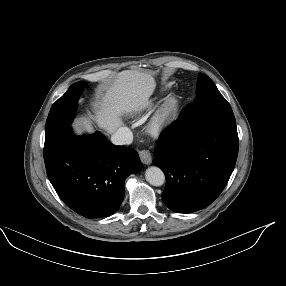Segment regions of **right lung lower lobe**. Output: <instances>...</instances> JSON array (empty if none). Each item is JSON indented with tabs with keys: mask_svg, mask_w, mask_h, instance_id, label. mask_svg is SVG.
<instances>
[{
	"mask_svg": "<svg viewBox=\"0 0 286 286\" xmlns=\"http://www.w3.org/2000/svg\"><path fill=\"white\" fill-rule=\"evenodd\" d=\"M44 161L59 197L87 218L108 217L117 211L125 178L142 168L134 149L115 146L99 132L77 137L70 127L45 137Z\"/></svg>",
	"mask_w": 286,
	"mask_h": 286,
	"instance_id": "98d812e1",
	"label": "right lung lower lobe"
}]
</instances>
